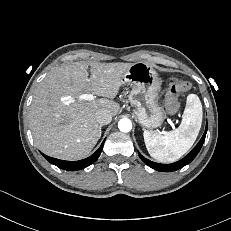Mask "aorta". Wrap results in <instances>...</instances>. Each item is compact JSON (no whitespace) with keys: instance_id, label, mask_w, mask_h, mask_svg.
I'll return each mask as SVG.
<instances>
[{"instance_id":"762f6f07","label":"aorta","mask_w":231,"mask_h":231,"mask_svg":"<svg viewBox=\"0 0 231 231\" xmlns=\"http://www.w3.org/2000/svg\"><path fill=\"white\" fill-rule=\"evenodd\" d=\"M118 128L121 132H130L131 129H132V123L129 119H121L119 122H118Z\"/></svg>"}]
</instances>
